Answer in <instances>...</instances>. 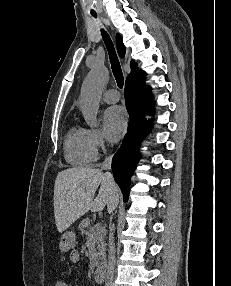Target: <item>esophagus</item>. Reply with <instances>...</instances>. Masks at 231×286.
Wrapping results in <instances>:
<instances>
[{
	"label": "esophagus",
	"instance_id": "esophagus-1",
	"mask_svg": "<svg viewBox=\"0 0 231 286\" xmlns=\"http://www.w3.org/2000/svg\"><path fill=\"white\" fill-rule=\"evenodd\" d=\"M105 23H106L107 25H110V23H109V21H108V20H106V21H105Z\"/></svg>",
	"mask_w": 231,
	"mask_h": 286
}]
</instances>
